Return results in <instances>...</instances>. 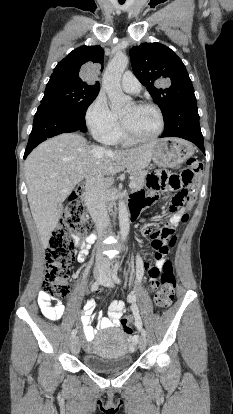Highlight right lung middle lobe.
Instances as JSON below:
<instances>
[{"label":"right lung middle lobe","instance_id":"right-lung-middle-lobe-1","mask_svg":"<svg viewBox=\"0 0 233 414\" xmlns=\"http://www.w3.org/2000/svg\"><path fill=\"white\" fill-rule=\"evenodd\" d=\"M99 93V86L86 85L60 78H50L41 104H53L85 116Z\"/></svg>","mask_w":233,"mask_h":414}]
</instances>
